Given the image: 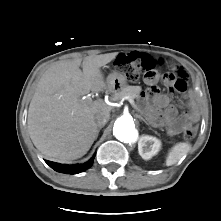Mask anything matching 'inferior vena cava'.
Listing matches in <instances>:
<instances>
[{
    "mask_svg": "<svg viewBox=\"0 0 221 221\" xmlns=\"http://www.w3.org/2000/svg\"><path fill=\"white\" fill-rule=\"evenodd\" d=\"M110 114L109 113H98L95 116V121L98 127H103L109 120Z\"/></svg>",
    "mask_w": 221,
    "mask_h": 221,
    "instance_id": "obj_1",
    "label": "inferior vena cava"
}]
</instances>
